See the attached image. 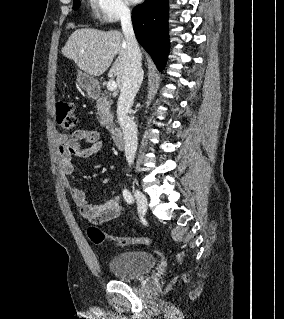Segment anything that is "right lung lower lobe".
Returning <instances> with one entry per match:
<instances>
[{"label": "right lung lower lobe", "instance_id": "right-lung-lower-lobe-1", "mask_svg": "<svg viewBox=\"0 0 284 319\" xmlns=\"http://www.w3.org/2000/svg\"><path fill=\"white\" fill-rule=\"evenodd\" d=\"M132 20L137 40L162 70L169 50L168 0H146L133 9Z\"/></svg>", "mask_w": 284, "mask_h": 319}]
</instances>
